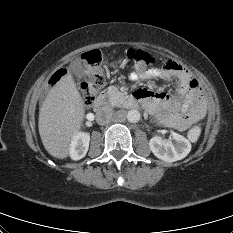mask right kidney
I'll return each instance as SVG.
<instances>
[{
    "label": "right kidney",
    "mask_w": 233,
    "mask_h": 233,
    "mask_svg": "<svg viewBox=\"0 0 233 233\" xmlns=\"http://www.w3.org/2000/svg\"><path fill=\"white\" fill-rule=\"evenodd\" d=\"M90 135L86 132L76 133L70 143V157L80 160L85 157L89 148Z\"/></svg>",
    "instance_id": "right-kidney-1"
}]
</instances>
